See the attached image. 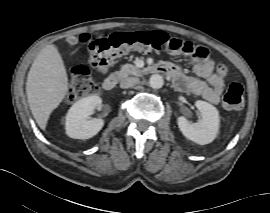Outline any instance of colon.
Segmentation results:
<instances>
[{"label":"colon","instance_id":"colon-1","mask_svg":"<svg viewBox=\"0 0 270 213\" xmlns=\"http://www.w3.org/2000/svg\"><path fill=\"white\" fill-rule=\"evenodd\" d=\"M78 42L90 52V61L94 65L110 64L124 52H159L167 45L171 52L193 54L198 59L208 55L204 46L178 39L160 30L139 31L131 34L117 32L107 36H93L84 33L79 36ZM218 71L223 76L227 73L223 66H219ZM97 91L98 87L85 66H77L72 70L67 94L68 101L75 102ZM243 102L242 85L236 82L231 83L223 96V108L226 110L240 109Z\"/></svg>","mask_w":270,"mask_h":213}]
</instances>
